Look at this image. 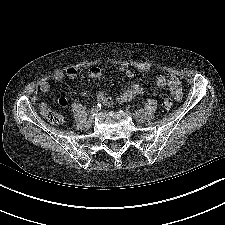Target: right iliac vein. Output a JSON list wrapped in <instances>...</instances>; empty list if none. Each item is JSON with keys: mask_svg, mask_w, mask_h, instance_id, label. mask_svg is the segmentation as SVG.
I'll list each match as a JSON object with an SVG mask.
<instances>
[{"mask_svg": "<svg viewBox=\"0 0 225 225\" xmlns=\"http://www.w3.org/2000/svg\"><path fill=\"white\" fill-rule=\"evenodd\" d=\"M93 123H94V120H93L92 117H90V118L85 122V127H86V128H90V127H92Z\"/></svg>", "mask_w": 225, "mask_h": 225, "instance_id": "right-iliac-vein-1", "label": "right iliac vein"}]
</instances>
